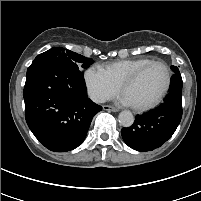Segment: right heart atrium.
<instances>
[{
    "mask_svg": "<svg viewBox=\"0 0 201 201\" xmlns=\"http://www.w3.org/2000/svg\"><path fill=\"white\" fill-rule=\"evenodd\" d=\"M84 82L89 97L97 103L110 99L120 89V86L100 65H92L85 70Z\"/></svg>",
    "mask_w": 201,
    "mask_h": 201,
    "instance_id": "right-heart-atrium-1",
    "label": "right heart atrium"
}]
</instances>
